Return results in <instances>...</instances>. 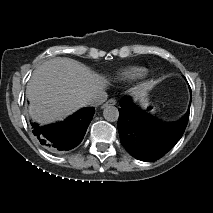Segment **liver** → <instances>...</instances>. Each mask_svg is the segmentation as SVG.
Returning <instances> with one entry per match:
<instances>
[{"label": "liver", "instance_id": "obj_1", "mask_svg": "<svg viewBox=\"0 0 213 213\" xmlns=\"http://www.w3.org/2000/svg\"><path fill=\"white\" fill-rule=\"evenodd\" d=\"M107 80L92 73L74 59L56 57L33 71L26 87L30 116L40 124H48L76 112L85 100L103 91ZM147 85L135 89V96L145 95Z\"/></svg>", "mask_w": 213, "mask_h": 213}]
</instances>
